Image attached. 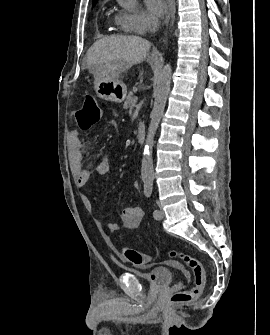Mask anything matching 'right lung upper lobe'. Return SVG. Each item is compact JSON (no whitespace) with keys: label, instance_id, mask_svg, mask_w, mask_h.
<instances>
[{"label":"right lung upper lobe","instance_id":"cb5924a9","mask_svg":"<svg viewBox=\"0 0 270 335\" xmlns=\"http://www.w3.org/2000/svg\"><path fill=\"white\" fill-rule=\"evenodd\" d=\"M97 0H93V3H95Z\"/></svg>","mask_w":270,"mask_h":335}]
</instances>
